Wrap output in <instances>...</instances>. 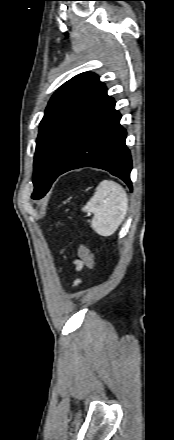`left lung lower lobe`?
Instances as JSON below:
<instances>
[{
    "instance_id": "0a47b994",
    "label": "left lung lower lobe",
    "mask_w": 174,
    "mask_h": 440,
    "mask_svg": "<svg viewBox=\"0 0 174 440\" xmlns=\"http://www.w3.org/2000/svg\"><path fill=\"white\" fill-rule=\"evenodd\" d=\"M120 119L114 99L107 95L87 120L58 176L82 167L100 168L122 179L132 190L131 155Z\"/></svg>"
}]
</instances>
